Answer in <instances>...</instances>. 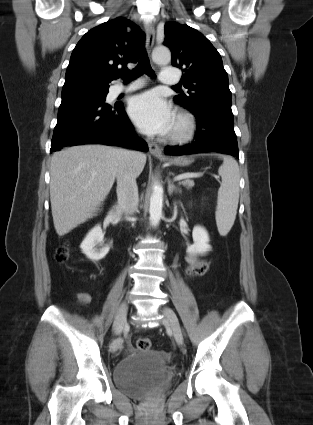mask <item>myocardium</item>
Here are the masks:
<instances>
[{"instance_id": "obj_1", "label": "myocardium", "mask_w": 313, "mask_h": 425, "mask_svg": "<svg viewBox=\"0 0 313 425\" xmlns=\"http://www.w3.org/2000/svg\"><path fill=\"white\" fill-rule=\"evenodd\" d=\"M196 132V121L187 112H178L175 116L173 128L169 139L173 142L183 143L193 138Z\"/></svg>"}]
</instances>
